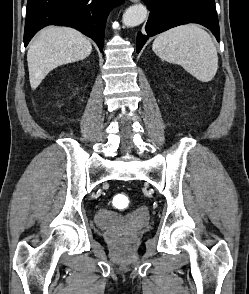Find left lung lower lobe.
Masks as SVG:
<instances>
[{
	"label": "left lung lower lobe",
	"mask_w": 249,
	"mask_h": 294,
	"mask_svg": "<svg viewBox=\"0 0 249 294\" xmlns=\"http://www.w3.org/2000/svg\"><path fill=\"white\" fill-rule=\"evenodd\" d=\"M150 8L145 33H138L137 53L149 37L172 27L198 23L207 27L220 41V31L214 0H143Z\"/></svg>",
	"instance_id": "obj_1"
}]
</instances>
